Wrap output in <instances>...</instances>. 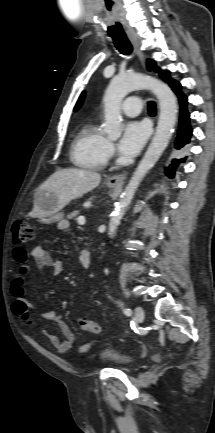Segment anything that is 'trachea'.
Instances as JSON below:
<instances>
[{"label": "trachea", "mask_w": 215, "mask_h": 433, "mask_svg": "<svg viewBox=\"0 0 215 433\" xmlns=\"http://www.w3.org/2000/svg\"><path fill=\"white\" fill-rule=\"evenodd\" d=\"M111 37L115 47L121 54L129 55L132 53V46L126 35H114ZM148 111L152 114L156 113V105L154 102H148Z\"/></svg>", "instance_id": "trachea-1"}]
</instances>
